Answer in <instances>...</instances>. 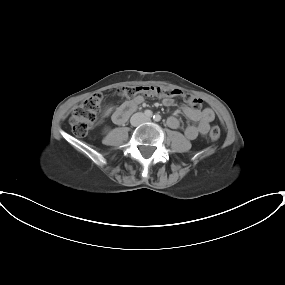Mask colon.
Returning <instances> with one entry per match:
<instances>
[{
	"mask_svg": "<svg viewBox=\"0 0 285 285\" xmlns=\"http://www.w3.org/2000/svg\"><path fill=\"white\" fill-rule=\"evenodd\" d=\"M117 93L119 96L127 99L141 94H144L146 96L162 95L166 97H181L188 105L194 109H201L203 105L202 99L193 94L186 93L178 88H169L154 85H134L120 87L117 90ZM102 98L103 97L101 93H94L85 99L73 111L70 118V124L75 134L84 136L91 129L100 109ZM220 135V127L213 126L210 130V138L215 141L219 139Z\"/></svg>",
	"mask_w": 285,
	"mask_h": 285,
	"instance_id": "1",
	"label": "colon"
}]
</instances>
